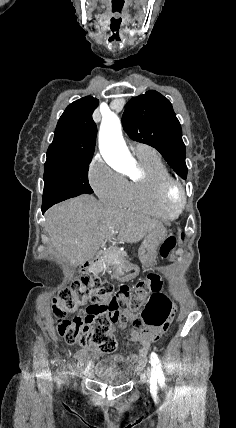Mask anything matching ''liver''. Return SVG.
I'll return each instance as SVG.
<instances>
[{"label": "liver", "mask_w": 236, "mask_h": 428, "mask_svg": "<svg viewBox=\"0 0 236 428\" xmlns=\"http://www.w3.org/2000/svg\"><path fill=\"white\" fill-rule=\"evenodd\" d=\"M45 230L55 250L71 266L96 256L104 240L136 244L156 228H164L149 216L118 212L103 206L94 196H78L47 210Z\"/></svg>", "instance_id": "6515ba94"}]
</instances>
